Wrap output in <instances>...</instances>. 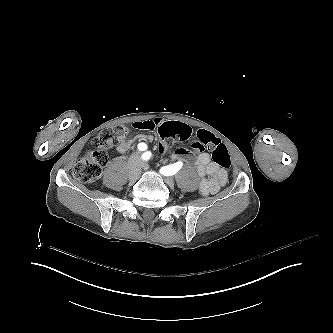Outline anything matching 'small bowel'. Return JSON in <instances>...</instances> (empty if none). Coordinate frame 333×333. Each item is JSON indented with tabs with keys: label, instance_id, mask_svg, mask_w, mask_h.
Here are the masks:
<instances>
[{
	"label": "small bowel",
	"instance_id": "c3829d8e",
	"mask_svg": "<svg viewBox=\"0 0 333 333\" xmlns=\"http://www.w3.org/2000/svg\"><path fill=\"white\" fill-rule=\"evenodd\" d=\"M165 122L169 121L163 118H153L136 121L133 126L139 130H155L159 129ZM203 132L206 131H198L195 134L203 135ZM152 140V135L140 134L117 145V151L121 154H126L136 143ZM171 159L174 161L190 162L192 156L188 150L179 148L172 152ZM195 168L198 176L202 178L199 184V191L203 196L217 193L227 180L226 171L214 163L207 153H201L196 157Z\"/></svg>",
	"mask_w": 333,
	"mask_h": 333
}]
</instances>
